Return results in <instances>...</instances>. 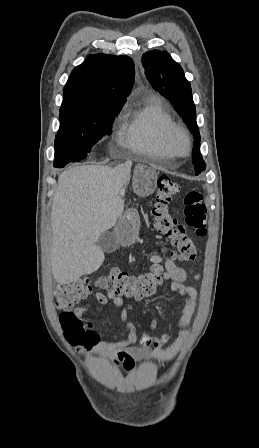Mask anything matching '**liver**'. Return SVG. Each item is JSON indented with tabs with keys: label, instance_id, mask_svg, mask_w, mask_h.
I'll list each match as a JSON object with an SVG mask.
<instances>
[{
	"label": "liver",
	"instance_id": "liver-1",
	"mask_svg": "<svg viewBox=\"0 0 259 448\" xmlns=\"http://www.w3.org/2000/svg\"><path fill=\"white\" fill-rule=\"evenodd\" d=\"M132 162L117 168L78 166L62 172L51 210L52 274L58 284H72L93 274L104 262L95 246L124 212L119 192L130 180Z\"/></svg>",
	"mask_w": 259,
	"mask_h": 448
}]
</instances>
